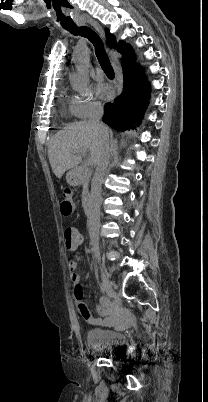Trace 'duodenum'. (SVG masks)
I'll use <instances>...</instances> for the list:
<instances>
[{
  "instance_id": "obj_1",
  "label": "duodenum",
  "mask_w": 208,
  "mask_h": 402,
  "mask_svg": "<svg viewBox=\"0 0 208 402\" xmlns=\"http://www.w3.org/2000/svg\"><path fill=\"white\" fill-rule=\"evenodd\" d=\"M78 176H80V175H78ZM82 204H83V209H84L86 212H89V211H90V207H91V200H90V196H89L88 194H85V195H84Z\"/></svg>"
}]
</instances>
